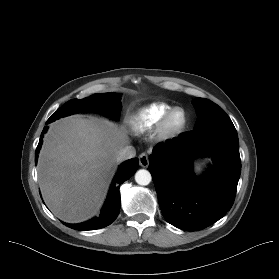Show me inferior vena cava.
Instances as JSON below:
<instances>
[{
    "mask_svg": "<svg viewBox=\"0 0 279 279\" xmlns=\"http://www.w3.org/2000/svg\"><path fill=\"white\" fill-rule=\"evenodd\" d=\"M136 150L133 146H125L120 149L116 155L117 162H122L135 157Z\"/></svg>",
    "mask_w": 279,
    "mask_h": 279,
    "instance_id": "1",
    "label": "inferior vena cava"
}]
</instances>
